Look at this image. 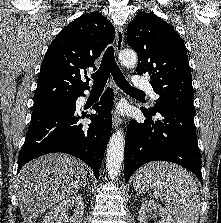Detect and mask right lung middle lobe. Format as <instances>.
Masks as SVG:
<instances>
[{
	"label": "right lung middle lobe",
	"mask_w": 221,
	"mask_h": 223,
	"mask_svg": "<svg viewBox=\"0 0 221 223\" xmlns=\"http://www.w3.org/2000/svg\"><path fill=\"white\" fill-rule=\"evenodd\" d=\"M75 99L76 98L60 100V101H55V102L46 103V104L34 105L33 113L45 111L53 107L71 105L75 102Z\"/></svg>",
	"instance_id": "1"
}]
</instances>
